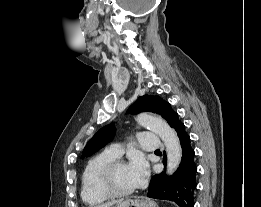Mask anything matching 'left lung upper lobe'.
<instances>
[{
	"label": "left lung upper lobe",
	"instance_id": "obj_1",
	"mask_svg": "<svg viewBox=\"0 0 261 207\" xmlns=\"http://www.w3.org/2000/svg\"><path fill=\"white\" fill-rule=\"evenodd\" d=\"M153 112L161 115L169 125L174 128L180 121L178 114L172 110L170 104L164 101L159 96L144 95L140 96L128 110V113L137 114L140 112ZM115 135V128L113 124L106 125L101 128L85 146L82 158L91 156L100 148L104 147L110 142Z\"/></svg>",
	"mask_w": 261,
	"mask_h": 207
}]
</instances>
